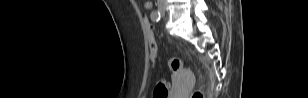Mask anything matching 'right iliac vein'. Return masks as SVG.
Returning a JSON list of instances; mask_svg holds the SVG:
<instances>
[{
	"instance_id": "obj_1",
	"label": "right iliac vein",
	"mask_w": 308,
	"mask_h": 98,
	"mask_svg": "<svg viewBox=\"0 0 308 98\" xmlns=\"http://www.w3.org/2000/svg\"><path fill=\"white\" fill-rule=\"evenodd\" d=\"M159 10H160V12L164 13L165 7L164 6H159Z\"/></svg>"
}]
</instances>
